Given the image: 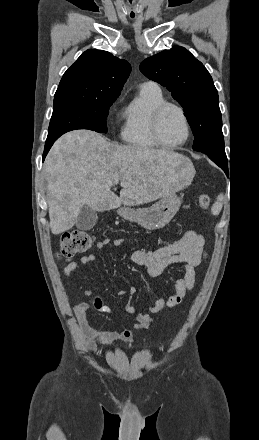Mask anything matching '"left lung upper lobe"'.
<instances>
[{"label": "left lung upper lobe", "instance_id": "obj_1", "mask_svg": "<svg viewBox=\"0 0 259 440\" xmlns=\"http://www.w3.org/2000/svg\"><path fill=\"white\" fill-rule=\"evenodd\" d=\"M141 72L165 86L183 109L193 131V149L225 153L218 92L204 65L181 46L145 59Z\"/></svg>", "mask_w": 259, "mask_h": 440}]
</instances>
